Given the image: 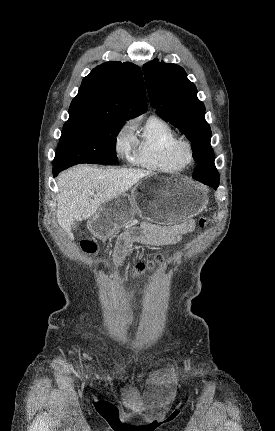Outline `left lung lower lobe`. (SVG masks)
<instances>
[{
	"mask_svg": "<svg viewBox=\"0 0 275 431\" xmlns=\"http://www.w3.org/2000/svg\"><path fill=\"white\" fill-rule=\"evenodd\" d=\"M193 178L197 181H200L203 184L209 185L215 190L219 186V183L215 181L213 173H202V174H193Z\"/></svg>",
	"mask_w": 275,
	"mask_h": 431,
	"instance_id": "0a47b994",
	"label": "left lung lower lobe"
}]
</instances>
